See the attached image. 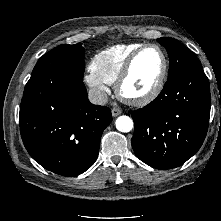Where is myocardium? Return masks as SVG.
Instances as JSON below:
<instances>
[{
	"mask_svg": "<svg viewBox=\"0 0 221 221\" xmlns=\"http://www.w3.org/2000/svg\"><path fill=\"white\" fill-rule=\"evenodd\" d=\"M148 48H156L162 57V68L160 71V74L158 76V79L154 85V87L147 92L146 94L142 95V96H138V97H130L127 96L124 92H123V85L126 82V80L129 78L134 63L137 60V58L140 56V54L145 51ZM167 73H168V58L167 55L165 53V51L163 50V48L155 43H147V44H143L142 46H140L139 48H137L127 59L126 63L124 64V67L122 68L119 76L116 79L115 82V91L118 95V97L120 99H122L123 101L135 105V106H144L149 104L150 102H152L154 99H156L159 94L161 93V91L164 88L165 85V81H166V77H167Z\"/></svg>",
	"mask_w": 221,
	"mask_h": 221,
	"instance_id": "1",
	"label": "myocardium"
}]
</instances>
